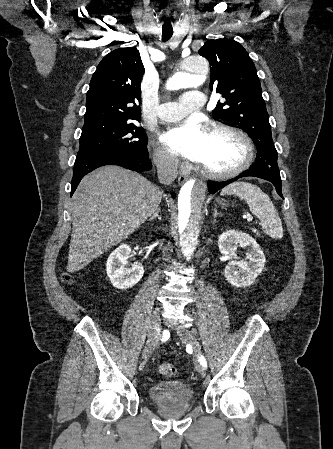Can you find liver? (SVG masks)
I'll return each instance as SVG.
<instances>
[{
	"label": "liver",
	"mask_w": 333,
	"mask_h": 449,
	"mask_svg": "<svg viewBox=\"0 0 333 449\" xmlns=\"http://www.w3.org/2000/svg\"><path fill=\"white\" fill-rule=\"evenodd\" d=\"M161 199L150 181L116 165L86 175L72 197L68 267L79 271L126 239L155 213Z\"/></svg>",
	"instance_id": "6515ba94"
}]
</instances>
